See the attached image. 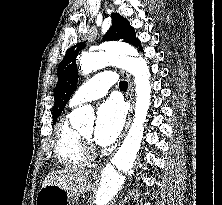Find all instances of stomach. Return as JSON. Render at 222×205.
I'll use <instances>...</instances> for the list:
<instances>
[{"mask_svg":"<svg viewBox=\"0 0 222 205\" xmlns=\"http://www.w3.org/2000/svg\"><path fill=\"white\" fill-rule=\"evenodd\" d=\"M36 205H74V198L57 185H47L39 190Z\"/></svg>","mask_w":222,"mask_h":205,"instance_id":"stomach-1","label":"stomach"}]
</instances>
